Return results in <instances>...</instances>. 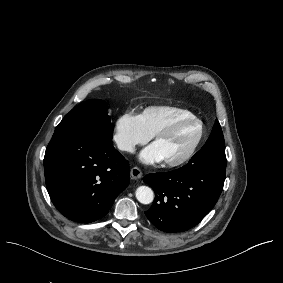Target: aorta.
<instances>
[{
    "label": "aorta",
    "instance_id": "aorta-1",
    "mask_svg": "<svg viewBox=\"0 0 283 283\" xmlns=\"http://www.w3.org/2000/svg\"><path fill=\"white\" fill-rule=\"evenodd\" d=\"M135 194L137 200L142 204H150L154 200V192L148 186H139Z\"/></svg>",
    "mask_w": 283,
    "mask_h": 283
}]
</instances>
